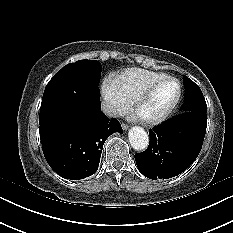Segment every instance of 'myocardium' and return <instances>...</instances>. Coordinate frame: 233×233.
Instances as JSON below:
<instances>
[{
	"mask_svg": "<svg viewBox=\"0 0 233 233\" xmlns=\"http://www.w3.org/2000/svg\"><path fill=\"white\" fill-rule=\"evenodd\" d=\"M163 81H172L176 84V88H177V92H176V96L174 98V100L172 101V103L169 105V107L160 115L154 117V118H142L139 116L141 122H143L145 125H158L160 123H162L163 121H165L176 109V107L178 106L180 99H181V95H182V89H181V84L178 81V79H176L175 77L172 76H162L158 79H155L154 81H152L151 83H149L145 88H143L135 97L133 100V110L136 114L138 107L140 105V103L150 94V92L153 90V88L163 82Z\"/></svg>",
	"mask_w": 233,
	"mask_h": 233,
	"instance_id": "1",
	"label": "myocardium"
}]
</instances>
